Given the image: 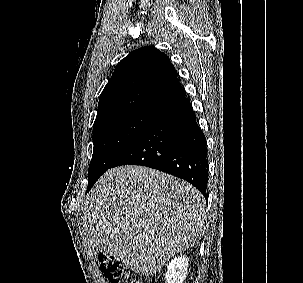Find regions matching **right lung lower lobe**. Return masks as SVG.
<instances>
[{"mask_svg": "<svg viewBox=\"0 0 303 283\" xmlns=\"http://www.w3.org/2000/svg\"><path fill=\"white\" fill-rule=\"evenodd\" d=\"M141 165L182 178L207 199L208 161L206 140L196 122L190 100L158 114L113 163Z\"/></svg>", "mask_w": 303, "mask_h": 283, "instance_id": "right-lung-lower-lobe-1", "label": "right lung lower lobe"}]
</instances>
